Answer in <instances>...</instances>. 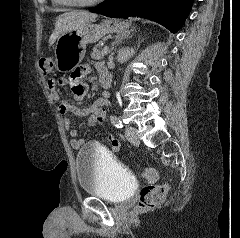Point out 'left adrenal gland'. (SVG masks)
I'll return each mask as SVG.
<instances>
[{"label":"left adrenal gland","instance_id":"1","mask_svg":"<svg viewBox=\"0 0 240 238\" xmlns=\"http://www.w3.org/2000/svg\"><path fill=\"white\" fill-rule=\"evenodd\" d=\"M129 37H130V32L120 33V34L116 35L115 41L112 43V47L110 50L111 54H110L109 58H111L112 55L114 54V52H112V51L114 50L115 45L118 44L119 42H121L123 39L129 38Z\"/></svg>","mask_w":240,"mask_h":238}]
</instances>
